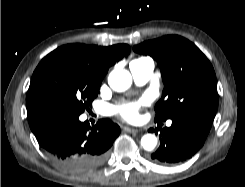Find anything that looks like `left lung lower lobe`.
<instances>
[{"label":"left lung lower lobe","instance_id":"obj_1","mask_svg":"<svg viewBox=\"0 0 245 187\" xmlns=\"http://www.w3.org/2000/svg\"><path fill=\"white\" fill-rule=\"evenodd\" d=\"M213 119L214 116L193 115L171 119V127H157L154 131L160 132L161 144L151 160L169 165L191 158L203 146Z\"/></svg>","mask_w":245,"mask_h":187}]
</instances>
